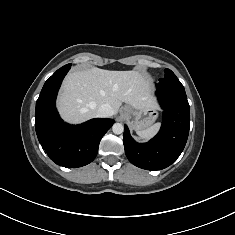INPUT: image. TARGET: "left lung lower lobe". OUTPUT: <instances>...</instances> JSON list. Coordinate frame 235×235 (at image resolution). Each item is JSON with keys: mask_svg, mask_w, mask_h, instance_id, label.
<instances>
[{"mask_svg": "<svg viewBox=\"0 0 235 235\" xmlns=\"http://www.w3.org/2000/svg\"><path fill=\"white\" fill-rule=\"evenodd\" d=\"M156 95L164 110L159 133L147 143H137L125 125L123 143L129 161L146 170H161L171 165L183 151L190 126V109L180 81L160 79Z\"/></svg>", "mask_w": 235, "mask_h": 235, "instance_id": "0a47b994", "label": "left lung lower lobe"}]
</instances>
